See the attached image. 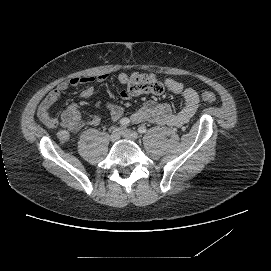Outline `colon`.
<instances>
[{"mask_svg":"<svg viewBox=\"0 0 271 271\" xmlns=\"http://www.w3.org/2000/svg\"><path fill=\"white\" fill-rule=\"evenodd\" d=\"M126 90L131 96L142 94L158 95L163 92V85L153 74L134 73L128 79ZM200 96L209 103L217 101L216 95L209 91L200 92Z\"/></svg>","mask_w":271,"mask_h":271,"instance_id":"colon-1","label":"colon"}]
</instances>
